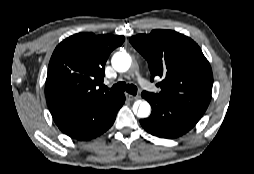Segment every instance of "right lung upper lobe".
Masks as SVG:
<instances>
[{
	"label": "right lung upper lobe",
	"instance_id": "right-lung-upper-lobe-1",
	"mask_svg": "<svg viewBox=\"0 0 254 174\" xmlns=\"http://www.w3.org/2000/svg\"><path fill=\"white\" fill-rule=\"evenodd\" d=\"M123 36L78 33L63 40L48 66L45 95L51 114L82 99L113 98L101 81L110 53L124 42Z\"/></svg>",
	"mask_w": 254,
	"mask_h": 174
}]
</instances>
